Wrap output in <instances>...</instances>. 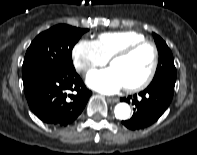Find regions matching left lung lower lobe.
I'll list each match as a JSON object with an SVG mask.
<instances>
[{"mask_svg": "<svg viewBox=\"0 0 197 155\" xmlns=\"http://www.w3.org/2000/svg\"><path fill=\"white\" fill-rule=\"evenodd\" d=\"M174 94V85L167 83L150 84L137 95L121 98V101L132 102L135 113L130 120L122 121L129 129L136 130L150 126L164 113Z\"/></svg>", "mask_w": 197, "mask_h": 155, "instance_id": "left-lung-lower-lobe-1", "label": "left lung lower lobe"}]
</instances>
